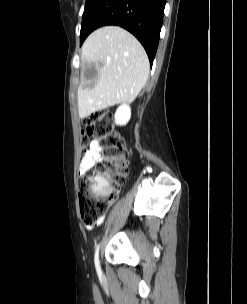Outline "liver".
I'll use <instances>...</instances> for the list:
<instances>
[{"label": "liver", "mask_w": 247, "mask_h": 304, "mask_svg": "<svg viewBox=\"0 0 247 304\" xmlns=\"http://www.w3.org/2000/svg\"><path fill=\"white\" fill-rule=\"evenodd\" d=\"M81 61L94 65L98 79L92 88L85 81L78 89L81 119L96 111L135 100L149 75L147 54L139 41L118 26L91 33L82 46Z\"/></svg>", "instance_id": "liver-1"}]
</instances>
